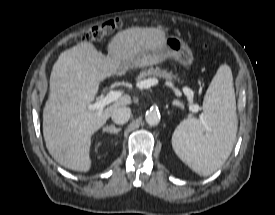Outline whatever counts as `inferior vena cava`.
Here are the masks:
<instances>
[{
    "label": "inferior vena cava",
    "mask_w": 275,
    "mask_h": 215,
    "mask_svg": "<svg viewBox=\"0 0 275 215\" xmlns=\"http://www.w3.org/2000/svg\"><path fill=\"white\" fill-rule=\"evenodd\" d=\"M130 116L131 110L126 106L116 108L111 114L112 120L119 125L125 124L129 120Z\"/></svg>",
    "instance_id": "obj_1"
}]
</instances>
